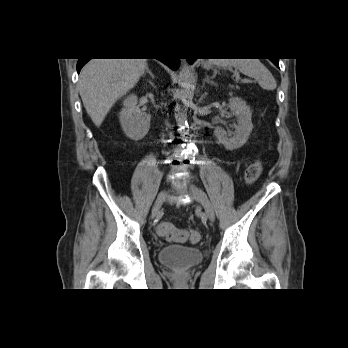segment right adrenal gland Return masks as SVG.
Wrapping results in <instances>:
<instances>
[{
  "label": "right adrenal gland",
  "mask_w": 348,
  "mask_h": 348,
  "mask_svg": "<svg viewBox=\"0 0 348 348\" xmlns=\"http://www.w3.org/2000/svg\"><path fill=\"white\" fill-rule=\"evenodd\" d=\"M146 73H148V74L152 77V79L155 78V77H154V74L151 72V70L149 69V67H146Z\"/></svg>",
  "instance_id": "1"
}]
</instances>
